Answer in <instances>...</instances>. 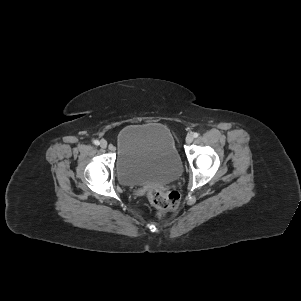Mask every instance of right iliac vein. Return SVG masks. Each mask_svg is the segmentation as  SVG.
<instances>
[{
  "mask_svg": "<svg viewBox=\"0 0 301 301\" xmlns=\"http://www.w3.org/2000/svg\"><path fill=\"white\" fill-rule=\"evenodd\" d=\"M100 147H101V148H106V147H107V141L104 140V139L101 140V141H100Z\"/></svg>",
  "mask_w": 301,
  "mask_h": 301,
  "instance_id": "obj_1",
  "label": "right iliac vein"
}]
</instances>
